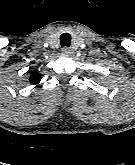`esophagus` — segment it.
I'll use <instances>...</instances> for the list:
<instances>
[{"instance_id": "34e87169", "label": "esophagus", "mask_w": 135, "mask_h": 165, "mask_svg": "<svg viewBox=\"0 0 135 165\" xmlns=\"http://www.w3.org/2000/svg\"><path fill=\"white\" fill-rule=\"evenodd\" d=\"M62 53H63L64 55H70V54L72 53V49H70V48H68V47H64V48L62 49Z\"/></svg>"}]
</instances>
